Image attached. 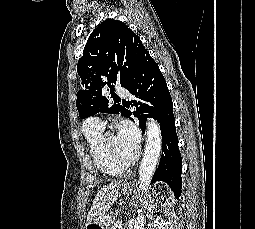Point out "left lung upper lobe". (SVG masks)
<instances>
[{
	"label": "left lung upper lobe",
	"instance_id": "obj_1",
	"mask_svg": "<svg viewBox=\"0 0 255 229\" xmlns=\"http://www.w3.org/2000/svg\"><path fill=\"white\" fill-rule=\"evenodd\" d=\"M145 51L140 38L121 21L106 19L96 27L77 65L84 87L76 101L82 119L99 112L125 116L126 109L120 104L111 106L102 90L109 87L114 99L113 84L125 87Z\"/></svg>",
	"mask_w": 255,
	"mask_h": 229
}]
</instances>
